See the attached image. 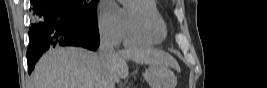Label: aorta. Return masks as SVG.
<instances>
[{"label": "aorta", "instance_id": "obj_1", "mask_svg": "<svg viewBox=\"0 0 267 88\" xmlns=\"http://www.w3.org/2000/svg\"><path fill=\"white\" fill-rule=\"evenodd\" d=\"M119 2L122 4H126L127 2H129V0H119Z\"/></svg>", "mask_w": 267, "mask_h": 88}]
</instances>
